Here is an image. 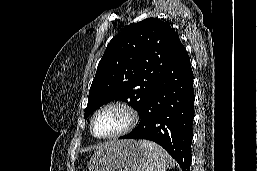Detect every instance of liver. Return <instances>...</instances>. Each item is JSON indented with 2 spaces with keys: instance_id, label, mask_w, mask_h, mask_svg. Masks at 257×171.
Listing matches in <instances>:
<instances>
[{
  "instance_id": "obj_1",
  "label": "liver",
  "mask_w": 257,
  "mask_h": 171,
  "mask_svg": "<svg viewBox=\"0 0 257 171\" xmlns=\"http://www.w3.org/2000/svg\"><path fill=\"white\" fill-rule=\"evenodd\" d=\"M113 145H114V144H112V143H111V144H107V145H105V146H102L101 149L104 148V147H109V146H113Z\"/></svg>"
}]
</instances>
